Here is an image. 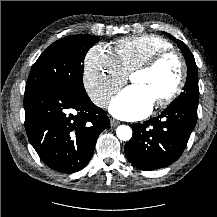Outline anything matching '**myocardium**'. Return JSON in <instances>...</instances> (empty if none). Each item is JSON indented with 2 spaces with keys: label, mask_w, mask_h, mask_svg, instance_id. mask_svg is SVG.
<instances>
[{
  "label": "myocardium",
  "mask_w": 217,
  "mask_h": 217,
  "mask_svg": "<svg viewBox=\"0 0 217 217\" xmlns=\"http://www.w3.org/2000/svg\"><path fill=\"white\" fill-rule=\"evenodd\" d=\"M169 59H173L176 62L178 67V76L174 89L165 97L155 101V105L158 107H164L171 104L175 99L180 96V94L184 90L187 80V67L182 55L174 50L160 52L153 56L147 62L136 67L130 75L131 77L133 74L136 73L153 72Z\"/></svg>",
  "instance_id": "obj_1"
}]
</instances>
